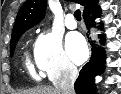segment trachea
I'll use <instances>...</instances> for the list:
<instances>
[{
	"mask_svg": "<svg viewBox=\"0 0 121 94\" xmlns=\"http://www.w3.org/2000/svg\"><path fill=\"white\" fill-rule=\"evenodd\" d=\"M74 17L77 21L81 20V11L79 9L74 12Z\"/></svg>",
	"mask_w": 121,
	"mask_h": 94,
	"instance_id": "3493384b",
	"label": "trachea"
}]
</instances>
